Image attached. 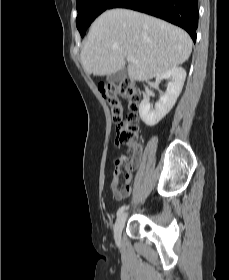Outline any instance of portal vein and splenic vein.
Returning a JSON list of instances; mask_svg holds the SVG:
<instances>
[{
  "label": "portal vein and splenic vein",
  "mask_w": 229,
  "mask_h": 280,
  "mask_svg": "<svg viewBox=\"0 0 229 280\" xmlns=\"http://www.w3.org/2000/svg\"><path fill=\"white\" fill-rule=\"evenodd\" d=\"M127 61L128 62H136L137 63V61L135 60V58L133 56H127Z\"/></svg>",
  "instance_id": "portal-vein-and-splenic-vein-1"
}]
</instances>
